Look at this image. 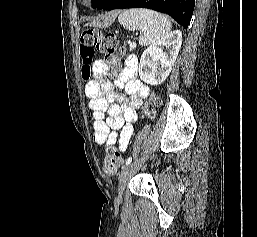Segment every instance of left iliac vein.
I'll return each mask as SVG.
<instances>
[{"instance_id":"left-iliac-vein-1","label":"left iliac vein","mask_w":257,"mask_h":237,"mask_svg":"<svg viewBox=\"0 0 257 237\" xmlns=\"http://www.w3.org/2000/svg\"><path fill=\"white\" fill-rule=\"evenodd\" d=\"M136 166V162H131L128 164L122 171L119 178V187H118V198L120 199L123 194V190Z\"/></svg>"}]
</instances>
